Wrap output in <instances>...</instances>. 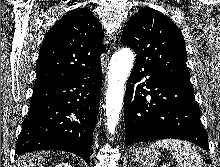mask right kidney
<instances>
[{
  "instance_id": "ca27d5eb",
  "label": "right kidney",
  "mask_w": 220,
  "mask_h": 167,
  "mask_svg": "<svg viewBox=\"0 0 220 167\" xmlns=\"http://www.w3.org/2000/svg\"><path fill=\"white\" fill-rule=\"evenodd\" d=\"M55 167H72V166L70 164H68V163L62 162L61 164H58Z\"/></svg>"
}]
</instances>
